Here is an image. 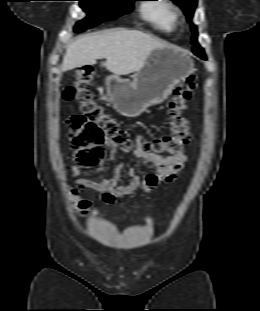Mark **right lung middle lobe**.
Instances as JSON below:
<instances>
[{"mask_svg": "<svg viewBox=\"0 0 260 311\" xmlns=\"http://www.w3.org/2000/svg\"><path fill=\"white\" fill-rule=\"evenodd\" d=\"M88 16L79 21L75 32H82L104 21L129 13L136 0H78Z\"/></svg>", "mask_w": 260, "mask_h": 311, "instance_id": "dd1d6c3e", "label": "right lung middle lobe"}]
</instances>
